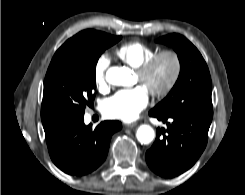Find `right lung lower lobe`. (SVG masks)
Returning <instances> with one entry per match:
<instances>
[{
    "label": "right lung lower lobe",
    "instance_id": "obj_1",
    "mask_svg": "<svg viewBox=\"0 0 245 195\" xmlns=\"http://www.w3.org/2000/svg\"><path fill=\"white\" fill-rule=\"evenodd\" d=\"M121 128L119 121H104L92 129L81 116L44 131L54 164L69 175L82 176L104 162L111 136Z\"/></svg>",
    "mask_w": 245,
    "mask_h": 195
}]
</instances>
